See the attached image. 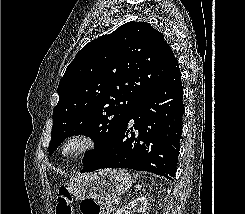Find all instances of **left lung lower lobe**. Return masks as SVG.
Returning <instances> with one entry per match:
<instances>
[{
	"label": "left lung lower lobe",
	"instance_id": "1",
	"mask_svg": "<svg viewBox=\"0 0 245 214\" xmlns=\"http://www.w3.org/2000/svg\"><path fill=\"white\" fill-rule=\"evenodd\" d=\"M183 113V88L178 64L143 98L111 143L86 161L81 172L129 168L173 180ZM130 120H134V125L128 129ZM133 128L137 131L132 132Z\"/></svg>",
	"mask_w": 245,
	"mask_h": 214
}]
</instances>
